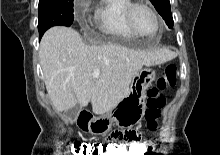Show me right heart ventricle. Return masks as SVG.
I'll use <instances>...</instances> for the list:
<instances>
[{
  "label": "right heart ventricle",
  "instance_id": "1",
  "mask_svg": "<svg viewBox=\"0 0 220 155\" xmlns=\"http://www.w3.org/2000/svg\"><path fill=\"white\" fill-rule=\"evenodd\" d=\"M131 0H99L93 12V23L98 31L112 39L134 38L127 25L125 11Z\"/></svg>",
  "mask_w": 220,
  "mask_h": 155
}]
</instances>
